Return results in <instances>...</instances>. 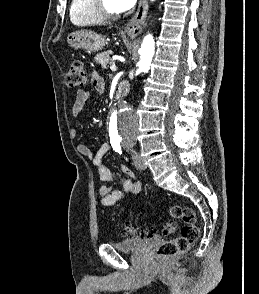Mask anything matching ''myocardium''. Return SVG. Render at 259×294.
<instances>
[{
    "label": "myocardium",
    "mask_w": 259,
    "mask_h": 294,
    "mask_svg": "<svg viewBox=\"0 0 259 294\" xmlns=\"http://www.w3.org/2000/svg\"><path fill=\"white\" fill-rule=\"evenodd\" d=\"M92 9L101 21H113L120 17V12L109 11L103 0H92Z\"/></svg>",
    "instance_id": "1"
}]
</instances>
